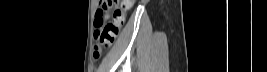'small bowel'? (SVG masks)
Wrapping results in <instances>:
<instances>
[{"mask_svg":"<svg viewBox=\"0 0 267 72\" xmlns=\"http://www.w3.org/2000/svg\"><path fill=\"white\" fill-rule=\"evenodd\" d=\"M132 7V2L131 1H128L127 4H126V8L127 10H129L130 8ZM124 19H125V16H122L118 19V23H119V26L121 27L122 24L124 23Z\"/></svg>","mask_w":267,"mask_h":72,"instance_id":"c3829d8e","label":"small bowel"}]
</instances>
